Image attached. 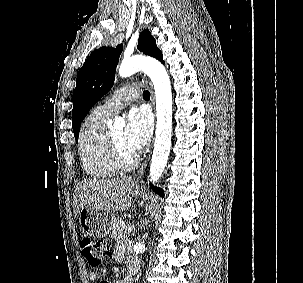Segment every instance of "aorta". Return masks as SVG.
I'll return each instance as SVG.
<instances>
[{
    "instance_id": "762f6f07",
    "label": "aorta",
    "mask_w": 303,
    "mask_h": 283,
    "mask_svg": "<svg viewBox=\"0 0 303 283\" xmlns=\"http://www.w3.org/2000/svg\"><path fill=\"white\" fill-rule=\"evenodd\" d=\"M138 71L147 74L154 86L156 97V133L154 150L150 165V179L153 184L161 178L166 167L170 148L172 132V91L169 75L158 60L134 56L123 60L119 67V76L130 77ZM114 125H124L121 118H116Z\"/></svg>"
}]
</instances>
